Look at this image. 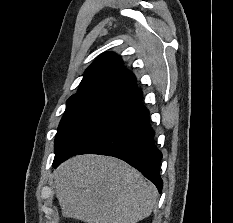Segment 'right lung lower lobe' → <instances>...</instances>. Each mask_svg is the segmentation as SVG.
Listing matches in <instances>:
<instances>
[{"instance_id":"98d812e1","label":"right lung lower lobe","mask_w":233,"mask_h":223,"mask_svg":"<svg viewBox=\"0 0 233 223\" xmlns=\"http://www.w3.org/2000/svg\"><path fill=\"white\" fill-rule=\"evenodd\" d=\"M124 111L87 146L75 154H56L53 165L76 154H101L120 158L152 181L159 192L163 183L159 174L162 153L155 147L154 134L149 124V112L142 105V91L131 88L124 94Z\"/></svg>"}]
</instances>
